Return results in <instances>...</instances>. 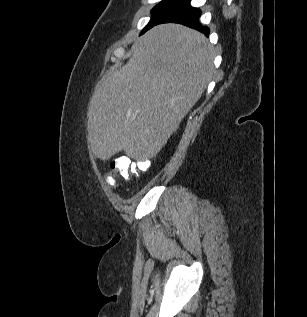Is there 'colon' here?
<instances>
[{"label": "colon", "instance_id": "colon-1", "mask_svg": "<svg viewBox=\"0 0 307 317\" xmlns=\"http://www.w3.org/2000/svg\"><path fill=\"white\" fill-rule=\"evenodd\" d=\"M149 167L148 161L132 162L127 158H118L111 163V174L106 178L107 183L115 185L116 178L125 180L131 179L132 176L140 172H145Z\"/></svg>", "mask_w": 307, "mask_h": 317}]
</instances>
